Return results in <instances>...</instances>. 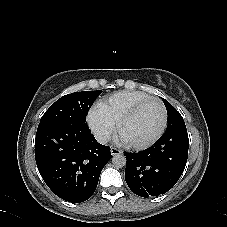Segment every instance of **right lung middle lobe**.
<instances>
[{"label":"right lung middle lobe","instance_id":"dd1d6c3e","mask_svg":"<svg viewBox=\"0 0 227 227\" xmlns=\"http://www.w3.org/2000/svg\"><path fill=\"white\" fill-rule=\"evenodd\" d=\"M101 93V90H97L65 95L50 106L42 116L40 123H86L89 108Z\"/></svg>","mask_w":227,"mask_h":227}]
</instances>
